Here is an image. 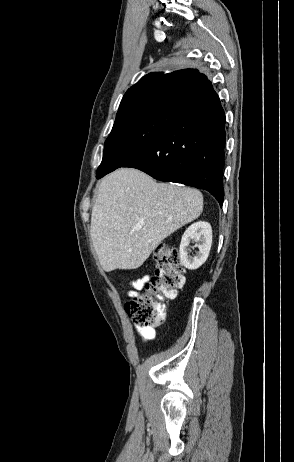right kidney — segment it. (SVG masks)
<instances>
[{
  "label": "right kidney",
  "mask_w": 294,
  "mask_h": 462,
  "mask_svg": "<svg viewBox=\"0 0 294 462\" xmlns=\"http://www.w3.org/2000/svg\"><path fill=\"white\" fill-rule=\"evenodd\" d=\"M190 242H195L199 249L195 256L188 255ZM212 245V228L208 222L199 221L190 225L184 232L179 256L182 264L189 270H196L205 263Z\"/></svg>",
  "instance_id": "1"
}]
</instances>
